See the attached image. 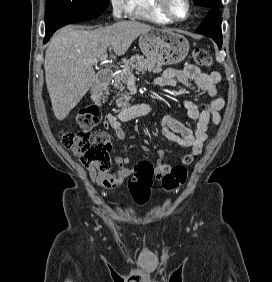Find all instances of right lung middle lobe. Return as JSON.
Here are the masks:
<instances>
[{"mask_svg": "<svg viewBox=\"0 0 272 282\" xmlns=\"http://www.w3.org/2000/svg\"><path fill=\"white\" fill-rule=\"evenodd\" d=\"M109 0H47L45 21L55 16L83 10L104 11Z\"/></svg>", "mask_w": 272, "mask_h": 282, "instance_id": "right-lung-middle-lobe-1", "label": "right lung middle lobe"}]
</instances>
